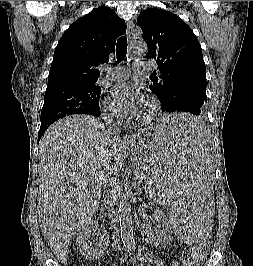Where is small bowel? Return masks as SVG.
<instances>
[{"instance_id":"obj_1","label":"small bowel","mask_w":253,"mask_h":266,"mask_svg":"<svg viewBox=\"0 0 253 266\" xmlns=\"http://www.w3.org/2000/svg\"><path fill=\"white\" fill-rule=\"evenodd\" d=\"M144 264L146 266H179V263L177 261H173L171 264L166 265L161 259H159L157 256L153 254H147L144 257ZM111 266H118V265H111Z\"/></svg>"}]
</instances>
